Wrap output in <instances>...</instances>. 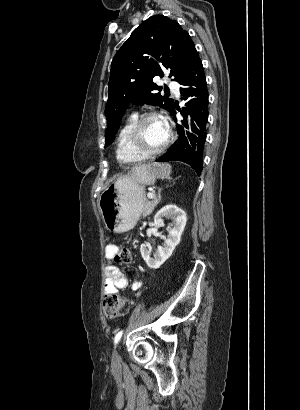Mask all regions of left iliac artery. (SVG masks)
<instances>
[{"label": "left iliac artery", "instance_id": "1", "mask_svg": "<svg viewBox=\"0 0 300 410\" xmlns=\"http://www.w3.org/2000/svg\"><path fill=\"white\" fill-rule=\"evenodd\" d=\"M122 334H123V330L119 331V332L115 335V338H114V344H115V345L120 341V339H121V337H122Z\"/></svg>", "mask_w": 300, "mask_h": 410}]
</instances>
